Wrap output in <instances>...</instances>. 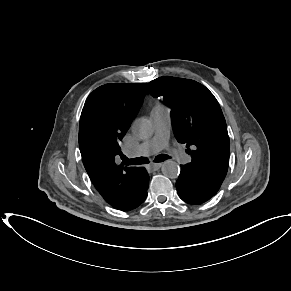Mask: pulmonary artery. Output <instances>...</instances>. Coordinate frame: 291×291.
Segmentation results:
<instances>
[{
  "mask_svg": "<svg viewBox=\"0 0 291 291\" xmlns=\"http://www.w3.org/2000/svg\"><path fill=\"white\" fill-rule=\"evenodd\" d=\"M154 124V134L151 138L142 142L134 151H128V157H147L163 149H168L170 156L177 162L186 163L189 156L180 149L169 148L170 115L168 110L163 109L151 113Z\"/></svg>",
  "mask_w": 291,
  "mask_h": 291,
  "instance_id": "e3ab8cb5",
  "label": "pulmonary artery"
}]
</instances>
